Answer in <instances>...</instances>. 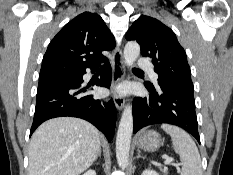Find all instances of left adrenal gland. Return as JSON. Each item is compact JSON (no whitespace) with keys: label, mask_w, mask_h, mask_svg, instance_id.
<instances>
[{"label":"left adrenal gland","mask_w":233,"mask_h":175,"mask_svg":"<svg viewBox=\"0 0 233 175\" xmlns=\"http://www.w3.org/2000/svg\"><path fill=\"white\" fill-rule=\"evenodd\" d=\"M136 158H143L140 154H137Z\"/></svg>","instance_id":"left-adrenal-gland-1"}]
</instances>
